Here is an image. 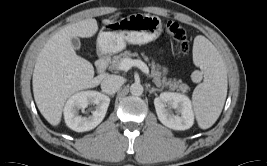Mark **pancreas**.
Returning <instances> with one entry per match:
<instances>
[{"label":"pancreas","instance_id":"cf45deb5","mask_svg":"<svg viewBox=\"0 0 267 166\" xmlns=\"http://www.w3.org/2000/svg\"><path fill=\"white\" fill-rule=\"evenodd\" d=\"M133 56H138L137 53H131L130 51H124L123 53H120L119 55H115L112 58L111 61V68L112 69H119L121 61H123L126 58H131ZM145 61H149V58L147 56H144ZM151 69H152V77L153 82L157 87H168L170 90L174 91H181V92H187L190 88L187 84L182 83L181 80H172V79H166L165 77H161L159 72V66L155 64L154 61L150 63Z\"/></svg>","mask_w":267,"mask_h":166}]
</instances>
